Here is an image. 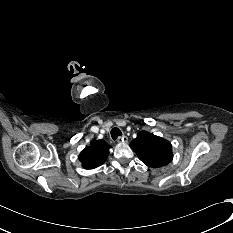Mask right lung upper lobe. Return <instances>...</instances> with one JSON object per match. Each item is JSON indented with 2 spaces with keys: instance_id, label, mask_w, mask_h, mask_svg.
<instances>
[{
  "instance_id": "1",
  "label": "right lung upper lobe",
  "mask_w": 233,
  "mask_h": 233,
  "mask_svg": "<svg viewBox=\"0 0 233 233\" xmlns=\"http://www.w3.org/2000/svg\"><path fill=\"white\" fill-rule=\"evenodd\" d=\"M110 145L104 140H95L79 155V160L85 169H94L102 165L109 154Z\"/></svg>"
}]
</instances>
